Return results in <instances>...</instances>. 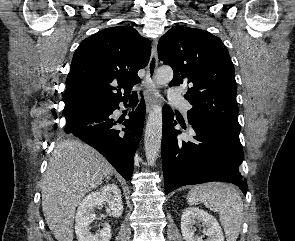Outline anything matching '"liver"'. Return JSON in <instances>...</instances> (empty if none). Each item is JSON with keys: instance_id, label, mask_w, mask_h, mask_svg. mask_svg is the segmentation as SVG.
Segmentation results:
<instances>
[{"instance_id": "1", "label": "liver", "mask_w": 295, "mask_h": 241, "mask_svg": "<svg viewBox=\"0 0 295 241\" xmlns=\"http://www.w3.org/2000/svg\"><path fill=\"white\" fill-rule=\"evenodd\" d=\"M113 172L99 152L78 140L56 144L42 180V210L57 241H73L76 207Z\"/></svg>"}]
</instances>
